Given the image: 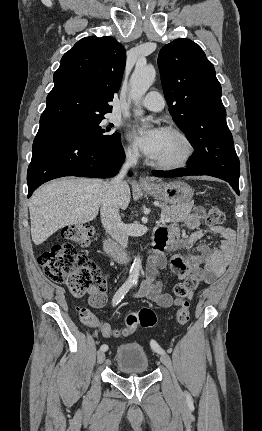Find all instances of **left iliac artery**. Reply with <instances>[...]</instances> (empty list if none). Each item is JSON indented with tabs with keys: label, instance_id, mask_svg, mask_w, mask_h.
<instances>
[{
	"label": "left iliac artery",
	"instance_id": "1",
	"mask_svg": "<svg viewBox=\"0 0 262 431\" xmlns=\"http://www.w3.org/2000/svg\"><path fill=\"white\" fill-rule=\"evenodd\" d=\"M136 284V283H135ZM151 346L153 347L154 350H156L158 353L160 354H164V350L154 341L151 342Z\"/></svg>",
	"mask_w": 262,
	"mask_h": 431
}]
</instances>
